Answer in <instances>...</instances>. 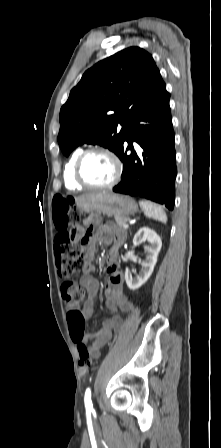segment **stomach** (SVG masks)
<instances>
[{
  "mask_svg": "<svg viewBox=\"0 0 221 448\" xmlns=\"http://www.w3.org/2000/svg\"><path fill=\"white\" fill-rule=\"evenodd\" d=\"M77 206L86 213H103L108 216L128 217L137 212L135 201L124 195L109 191L88 194L77 200Z\"/></svg>",
  "mask_w": 221,
  "mask_h": 448,
  "instance_id": "obj_1",
  "label": "stomach"
}]
</instances>
